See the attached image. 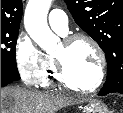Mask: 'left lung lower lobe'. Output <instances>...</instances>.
I'll return each instance as SVG.
<instances>
[{
  "mask_svg": "<svg viewBox=\"0 0 123 113\" xmlns=\"http://www.w3.org/2000/svg\"><path fill=\"white\" fill-rule=\"evenodd\" d=\"M113 92L123 94V90H120V91H105V90L101 89L100 92L98 93V95L103 96V95H107V94L113 93Z\"/></svg>",
  "mask_w": 123,
  "mask_h": 113,
  "instance_id": "0a47b994",
  "label": "left lung lower lobe"
}]
</instances>
